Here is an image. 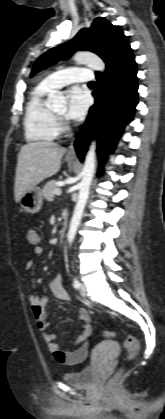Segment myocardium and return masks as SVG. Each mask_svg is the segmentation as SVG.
Segmentation results:
<instances>
[{"label":"myocardium","instance_id":"1","mask_svg":"<svg viewBox=\"0 0 165 419\" xmlns=\"http://www.w3.org/2000/svg\"><path fill=\"white\" fill-rule=\"evenodd\" d=\"M56 116H57L58 118H61V115H60V114H57V113H56Z\"/></svg>","mask_w":165,"mask_h":419}]
</instances>
